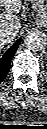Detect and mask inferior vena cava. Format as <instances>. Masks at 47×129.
I'll use <instances>...</instances> for the list:
<instances>
[{"mask_svg": "<svg viewBox=\"0 0 47 129\" xmlns=\"http://www.w3.org/2000/svg\"><path fill=\"white\" fill-rule=\"evenodd\" d=\"M16 37L15 33L7 30V29H3L0 31V40L1 41H13L14 38Z\"/></svg>", "mask_w": 47, "mask_h": 129, "instance_id": "obj_1", "label": "inferior vena cava"}]
</instances>
